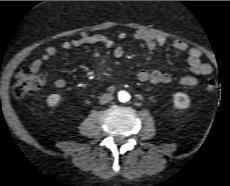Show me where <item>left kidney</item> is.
<instances>
[{
	"label": "left kidney",
	"instance_id": "5707ae66",
	"mask_svg": "<svg viewBox=\"0 0 230 186\" xmlns=\"http://www.w3.org/2000/svg\"><path fill=\"white\" fill-rule=\"evenodd\" d=\"M174 106L178 109H186L190 105V98L182 92H177L173 95Z\"/></svg>",
	"mask_w": 230,
	"mask_h": 186
}]
</instances>
